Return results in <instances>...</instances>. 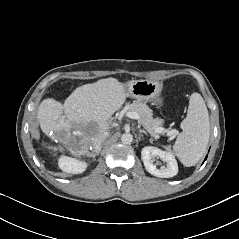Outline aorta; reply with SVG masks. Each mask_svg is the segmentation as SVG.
Segmentation results:
<instances>
[{
	"label": "aorta",
	"mask_w": 239,
	"mask_h": 239,
	"mask_svg": "<svg viewBox=\"0 0 239 239\" xmlns=\"http://www.w3.org/2000/svg\"><path fill=\"white\" fill-rule=\"evenodd\" d=\"M121 141L123 144H131L133 141V136L131 133H124L121 136Z\"/></svg>",
	"instance_id": "aorta-1"
}]
</instances>
